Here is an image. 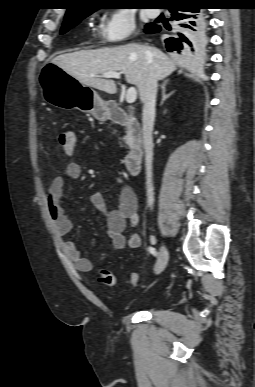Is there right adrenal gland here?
Masks as SVG:
<instances>
[{
    "label": "right adrenal gland",
    "mask_w": 255,
    "mask_h": 387,
    "mask_svg": "<svg viewBox=\"0 0 255 387\" xmlns=\"http://www.w3.org/2000/svg\"><path fill=\"white\" fill-rule=\"evenodd\" d=\"M168 84V80L164 81L162 84H161V89H162V94H161V102H160V106L163 105L164 101L170 97V95L173 93V92H170V93H166V86Z\"/></svg>",
    "instance_id": "obj_1"
}]
</instances>
